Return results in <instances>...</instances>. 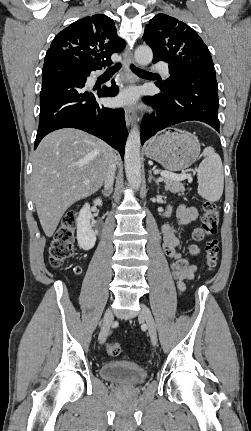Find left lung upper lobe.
<instances>
[{
  "instance_id": "5c2ea615",
  "label": "left lung upper lobe",
  "mask_w": 251,
  "mask_h": 431,
  "mask_svg": "<svg viewBox=\"0 0 251 431\" xmlns=\"http://www.w3.org/2000/svg\"><path fill=\"white\" fill-rule=\"evenodd\" d=\"M143 39L153 51V62L169 64L170 78L161 82L165 88H171L180 77L202 75L216 79L207 46L191 27L176 18L156 15L145 26Z\"/></svg>"
}]
</instances>
